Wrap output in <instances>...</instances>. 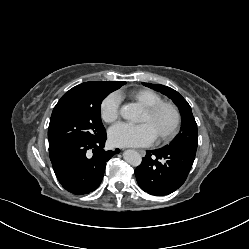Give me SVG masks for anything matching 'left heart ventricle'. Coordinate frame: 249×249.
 <instances>
[{
	"mask_svg": "<svg viewBox=\"0 0 249 249\" xmlns=\"http://www.w3.org/2000/svg\"><path fill=\"white\" fill-rule=\"evenodd\" d=\"M172 121H173L172 113L167 109L161 110L155 116H150L144 110L143 115L141 117V122H147L152 126L156 134V137L167 131L171 126Z\"/></svg>",
	"mask_w": 249,
	"mask_h": 249,
	"instance_id": "1",
	"label": "left heart ventricle"
}]
</instances>
